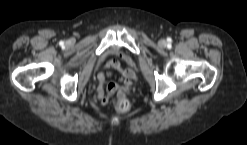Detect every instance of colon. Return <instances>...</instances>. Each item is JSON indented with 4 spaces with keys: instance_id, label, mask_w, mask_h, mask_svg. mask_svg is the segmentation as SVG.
<instances>
[{
    "instance_id": "obj_1",
    "label": "colon",
    "mask_w": 247,
    "mask_h": 145,
    "mask_svg": "<svg viewBox=\"0 0 247 145\" xmlns=\"http://www.w3.org/2000/svg\"><path fill=\"white\" fill-rule=\"evenodd\" d=\"M109 92H112L111 88H109ZM115 108L120 112H127L130 109V103L126 99H120L116 102Z\"/></svg>"
}]
</instances>
